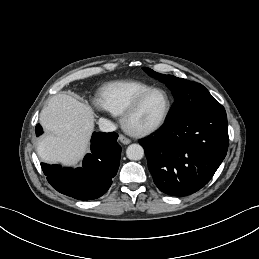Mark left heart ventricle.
Instances as JSON below:
<instances>
[{
    "mask_svg": "<svg viewBox=\"0 0 259 259\" xmlns=\"http://www.w3.org/2000/svg\"><path fill=\"white\" fill-rule=\"evenodd\" d=\"M166 106L167 99L163 93L151 94L131 117V126L140 129L156 124L162 118Z\"/></svg>",
    "mask_w": 259,
    "mask_h": 259,
    "instance_id": "1",
    "label": "left heart ventricle"
}]
</instances>
